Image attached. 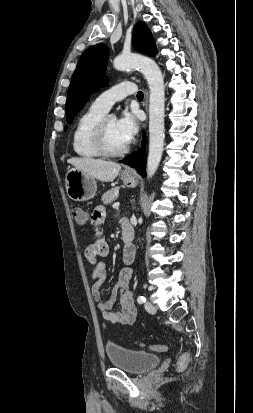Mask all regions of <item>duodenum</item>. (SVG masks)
I'll use <instances>...</instances> for the list:
<instances>
[{
    "instance_id": "duodenum-1",
    "label": "duodenum",
    "mask_w": 253,
    "mask_h": 413,
    "mask_svg": "<svg viewBox=\"0 0 253 413\" xmlns=\"http://www.w3.org/2000/svg\"><path fill=\"white\" fill-rule=\"evenodd\" d=\"M134 232L127 221L122 222V240L126 246H130L133 240Z\"/></svg>"
}]
</instances>
